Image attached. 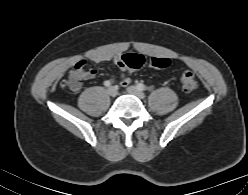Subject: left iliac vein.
<instances>
[{
  "instance_id": "4c4485c4",
  "label": "left iliac vein",
  "mask_w": 248,
  "mask_h": 195,
  "mask_svg": "<svg viewBox=\"0 0 248 195\" xmlns=\"http://www.w3.org/2000/svg\"><path fill=\"white\" fill-rule=\"evenodd\" d=\"M127 92L131 95L136 96L139 99L145 98V94L135 86L127 87Z\"/></svg>"
}]
</instances>
